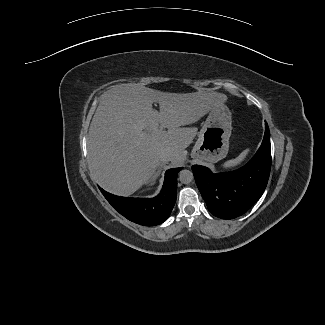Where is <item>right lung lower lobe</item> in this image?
Wrapping results in <instances>:
<instances>
[{
	"label": "right lung lower lobe",
	"mask_w": 325,
	"mask_h": 325,
	"mask_svg": "<svg viewBox=\"0 0 325 325\" xmlns=\"http://www.w3.org/2000/svg\"><path fill=\"white\" fill-rule=\"evenodd\" d=\"M182 169L173 168L165 173L160 194L154 198H127L110 194L99 187L111 206L128 220L144 226L163 223L169 217L177 194V174Z\"/></svg>",
	"instance_id": "right-lung-lower-lobe-1"
}]
</instances>
